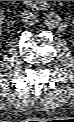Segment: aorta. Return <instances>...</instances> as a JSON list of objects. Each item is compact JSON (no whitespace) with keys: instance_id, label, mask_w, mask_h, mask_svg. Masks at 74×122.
Instances as JSON below:
<instances>
[{"instance_id":"aorta-1","label":"aorta","mask_w":74,"mask_h":122,"mask_svg":"<svg viewBox=\"0 0 74 122\" xmlns=\"http://www.w3.org/2000/svg\"><path fill=\"white\" fill-rule=\"evenodd\" d=\"M45 23L47 24V26L54 28L58 25V16L55 13H49L46 16V20Z\"/></svg>"}]
</instances>
